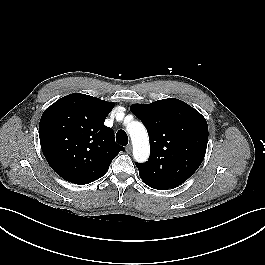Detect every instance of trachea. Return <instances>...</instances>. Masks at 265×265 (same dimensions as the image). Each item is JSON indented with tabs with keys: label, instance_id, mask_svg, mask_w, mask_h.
<instances>
[{
	"label": "trachea",
	"instance_id": "1",
	"mask_svg": "<svg viewBox=\"0 0 265 265\" xmlns=\"http://www.w3.org/2000/svg\"><path fill=\"white\" fill-rule=\"evenodd\" d=\"M116 141L122 146H126L128 144V136L124 130H119L117 132Z\"/></svg>",
	"mask_w": 265,
	"mask_h": 265
}]
</instances>
